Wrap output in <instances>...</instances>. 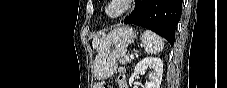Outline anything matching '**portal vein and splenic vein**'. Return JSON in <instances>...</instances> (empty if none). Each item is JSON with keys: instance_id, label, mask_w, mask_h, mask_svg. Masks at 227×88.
<instances>
[{"instance_id": "obj_1", "label": "portal vein and splenic vein", "mask_w": 227, "mask_h": 88, "mask_svg": "<svg viewBox=\"0 0 227 88\" xmlns=\"http://www.w3.org/2000/svg\"><path fill=\"white\" fill-rule=\"evenodd\" d=\"M130 57H131V58H134V55H133V54H130Z\"/></svg>"}]
</instances>
